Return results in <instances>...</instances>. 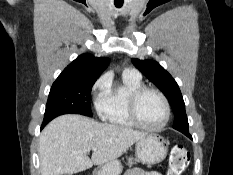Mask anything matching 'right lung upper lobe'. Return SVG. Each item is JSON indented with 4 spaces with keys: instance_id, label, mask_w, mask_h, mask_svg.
<instances>
[{
    "instance_id": "right-lung-upper-lobe-1",
    "label": "right lung upper lobe",
    "mask_w": 233,
    "mask_h": 175,
    "mask_svg": "<svg viewBox=\"0 0 233 175\" xmlns=\"http://www.w3.org/2000/svg\"><path fill=\"white\" fill-rule=\"evenodd\" d=\"M109 62L110 60L105 57L97 58L91 54H82L64 69L56 81L97 79Z\"/></svg>"
}]
</instances>
